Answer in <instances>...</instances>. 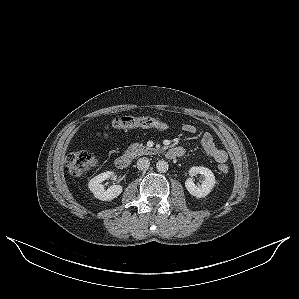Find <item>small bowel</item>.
<instances>
[{
	"label": "small bowel",
	"instance_id": "small-bowel-1",
	"mask_svg": "<svg viewBox=\"0 0 299 299\" xmlns=\"http://www.w3.org/2000/svg\"><path fill=\"white\" fill-rule=\"evenodd\" d=\"M108 126L105 128L104 131L97 134V137L101 139L107 138ZM182 130L188 134H194L196 132V127L192 124H185L182 127ZM201 144L205 150V152L214 158V160L218 163H225L228 159V154L224 149H221L216 146L213 136L210 133H205L202 136Z\"/></svg>",
	"mask_w": 299,
	"mask_h": 299
}]
</instances>
